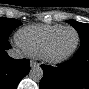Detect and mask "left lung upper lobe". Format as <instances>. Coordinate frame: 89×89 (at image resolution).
<instances>
[{
	"instance_id": "obj_1",
	"label": "left lung upper lobe",
	"mask_w": 89,
	"mask_h": 89,
	"mask_svg": "<svg viewBox=\"0 0 89 89\" xmlns=\"http://www.w3.org/2000/svg\"><path fill=\"white\" fill-rule=\"evenodd\" d=\"M68 23H70L79 33L80 40H89V25L85 23H80L75 20H68Z\"/></svg>"
}]
</instances>
